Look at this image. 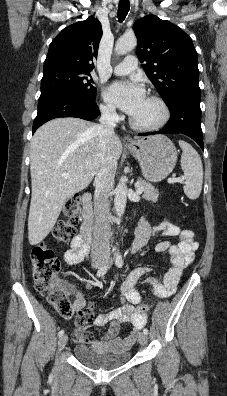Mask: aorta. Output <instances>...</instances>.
<instances>
[{
	"instance_id": "obj_1",
	"label": "aorta",
	"mask_w": 227,
	"mask_h": 396,
	"mask_svg": "<svg viewBox=\"0 0 227 396\" xmlns=\"http://www.w3.org/2000/svg\"><path fill=\"white\" fill-rule=\"evenodd\" d=\"M137 45V39L134 34L126 33L122 35L115 44V53L117 55H124L132 51ZM127 201V185L126 179L121 178L116 189L114 208L118 218H121L124 214Z\"/></svg>"
}]
</instances>
